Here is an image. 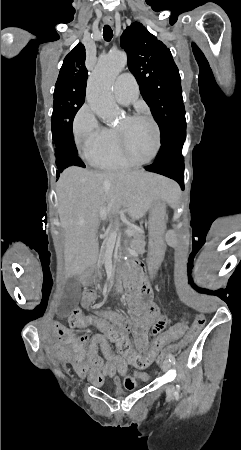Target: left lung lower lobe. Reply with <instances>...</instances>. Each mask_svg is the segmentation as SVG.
<instances>
[{"label": "left lung lower lobe", "mask_w": 241, "mask_h": 450, "mask_svg": "<svg viewBox=\"0 0 241 450\" xmlns=\"http://www.w3.org/2000/svg\"><path fill=\"white\" fill-rule=\"evenodd\" d=\"M186 137V125L170 132L163 140L160 151L152 165L145 166L151 172L159 173L184 186V158L182 147Z\"/></svg>", "instance_id": "obj_1"}]
</instances>
